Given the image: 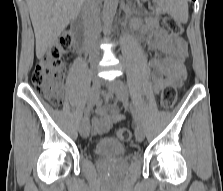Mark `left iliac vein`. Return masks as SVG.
Here are the masks:
<instances>
[{
  "label": "left iliac vein",
  "mask_w": 223,
  "mask_h": 191,
  "mask_svg": "<svg viewBox=\"0 0 223 191\" xmlns=\"http://www.w3.org/2000/svg\"><path fill=\"white\" fill-rule=\"evenodd\" d=\"M109 89L113 91L117 99L121 101L125 106L129 103V94L126 85L119 79H115L110 85ZM135 138L138 142L144 140V130L141 124H137L135 127Z\"/></svg>",
  "instance_id": "1"
}]
</instances>
